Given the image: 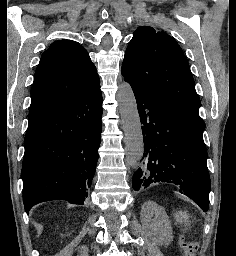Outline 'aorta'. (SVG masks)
<instances>
[{"label": "aorta", "instance_id": "obj_1", "mask_svg": "<svg viewBox=\"0 0 236 256\" xmlns=\"http://www.w3.org/2000/svg\"><path fill=\"white\" fill-rule=\"evenodd\" d=\"M117 100L125 134V159L131 168L137 169L143 158L144 142L136 99L127 82L119 84Z\"/></svg>", "mask_w": 236, "mask_h": 256}]
</instances>
